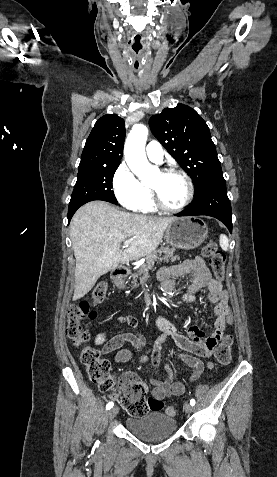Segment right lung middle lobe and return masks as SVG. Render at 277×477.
Segmentation results:
<instances>
[{
  "label": "right lung middle lobe",
  "instance_id": "right-lung-middle-lobe-1",
  "mask_svg": "<svg viewBox=\"0 0 277 477\" xmlns=\"http://www.w3.org/2000/svg\"><path fill=\"white\" fill-rule=\"evenodd\" d=\"M117 166L95 167L79 170L77 182L68 209V221L83 204L93 200H103L117 204L112 191V180Z\"/></svg>",
  "mask_w": 277,
  "mask_h": 477
}]
</instances>
